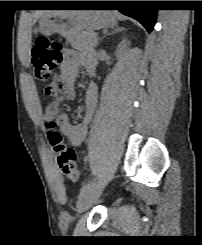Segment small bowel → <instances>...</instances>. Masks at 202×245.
<instances>
[{"label":"small bowel","instance_id":"obj_1","mask_svg":"<svg viewBox=\"0 0 202 245\" xmlns=\"http://www.w3.org/2000/svg\"><path fill=\"white\" fill-rule=\"evenodd\" d=\"M81 67L92 73L96 67L95 58L93 56L84 57L74 50H66L57 84H51V86H54L53 95L56 100L41 115V119L45 123L56 121L74 146H80L85 141L88 125L92 121L98 101V88L95 84H91L85 93L84 114L79 123H72L67 113L58 112V106L61 101H71L75 98V82Z\"/></svg>","mask_w":202,"mask_h":245}]
</instances>
